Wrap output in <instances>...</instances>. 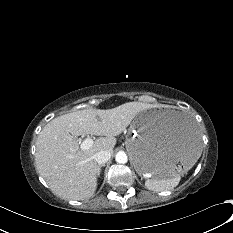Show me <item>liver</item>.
<instances>
[{
	"label": "liver",
	"mask_w": 233,
	"mask_h": 233,
	"mask_svg": "<svg viewBox=\"0 0 233 233\" xmlns=\"http://www.w3.org/2000/svg\"><path fill=\"white\" fill-rule=\"evenodd\" d=\"M154 105L128 102L112 109H84L50 121L36 142V170L51 191L67 200H85L97 188L98 168L93 155L100 150L111 153L115 136L121 134L140 112ZM80 135L102 136L88 150H81ZM104 136V137H103Z\"/></svg>",
	"instance_id": "6515ba94"
}]
</instances>
